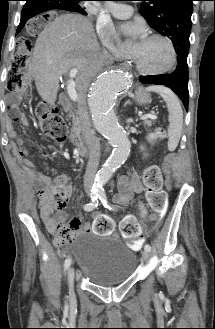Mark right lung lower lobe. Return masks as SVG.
Returning a JSON list of instances; mask_svg holds the SVG:
<instances>
[{"instance_id": "1", "label": "right lung lower lobe", "mask_w": 215, "mask_h": 329, "mask_svg": "<svg viewBox=\"0 0 215 329\" xmlns=\"http://www.w3.org/2000/svg\"><path fill=\"white\" fill-rule=\"evenodd\" d=\"M50 9L67 10L86 15V11H76L72 6L68 4L66 0H26V4L24 5L21 12V20L16 34L22 30L28 19Z\"/></svg>"}]
</instances>
